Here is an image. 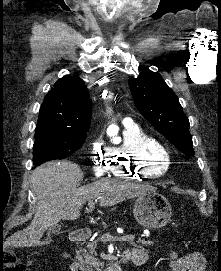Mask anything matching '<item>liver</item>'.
Listing matches in <instances>:
<instances>
[{
	"label": "liver",
	"instance_id": "liver-1",
	"mask_svg": "<svg viewBox=\"0 0 221 271\" xmlns=\"http://www.w3.org/2000/svg\"><path fill=\"white\" fill-rule=\"evenodd\" d=\"M83 173L77 163L66 159H55L38 165L32 171V187L36 197L35 215L26 229L16 231L6 245L11 247H34L46 245L49 241H40L44 231L50 225H56L61 219H78L83 203L90 197H99L100 205H116L128 195L135 193L136 187L129 181L102 177L84 187H76Z\"/></svg>",
	"mask_w": 221,
	"mask_h": 271
}]
</instances>
